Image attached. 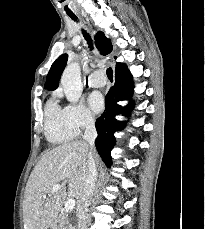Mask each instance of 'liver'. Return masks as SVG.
<instances>
[{"instance_id":"obj_1","label":"liver","mask_w":205,"mask_h":229,"mask_svg":"<svg viewBox=\"0 0 205 229\" xmlns=\"http://www.w3.org/2000/svg\"><path fill=\"white\" fill-rule=\"evenodd\" d=\"M90 146L73 141L45 152L32 170L25 188L23 220L25 229H48L53 225L67 197L82 196ZM96 166L99 157L93 152ZM62 182L65 188L51 193L53 185Z\"/></svg>"}]
</instances>
